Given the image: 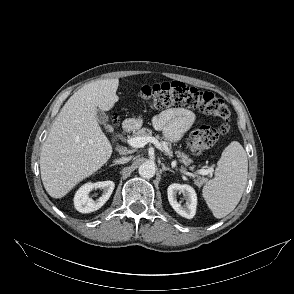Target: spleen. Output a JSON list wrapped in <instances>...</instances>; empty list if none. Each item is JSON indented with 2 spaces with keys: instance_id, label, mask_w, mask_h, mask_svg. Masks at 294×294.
Here are the masks:
<instances>
[{
  "instance_id": "3e777b00",
  "label": "spleen",
  "mask_w": 294,
  "mask_h": 294,
  "mask_svg": "<svg viewBox=\"0 0 294 294\" xmlns=\"http://www.w3.org/2000/svg\"><path fill=\"white\" fill-rule=\"evenodd\" d=\"M247 174V154L239 142L233 141L223 151L214 178L202 190L216 218H223L235 209L246 187Z\"/></svg>"
}]
</instances>
